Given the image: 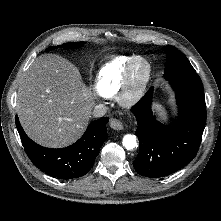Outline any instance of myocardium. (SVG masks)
Returning <instances> with one entry per match:
<instances>
[{
  "instance_id": "f54148a6",
  "label": "myocardium",
  "mask_w": 221,
  "mask_h": 221,
  "mask_svg": "<svg viewBox=\"0 0 221 221\" xmlns=\"http://www.w3.org/2000/svg\"><path fill=\"white\" fill-rule=\"evenodd\" d=\"M138 62H143L146 66V73L142 81L138 85H134L132 75L135 65ZM152 76L151 63L142 56H135L128 64L118 92V101L124 107H131L138 103L143 97L146 88Z\"/></svg>"
}]
</instances>
